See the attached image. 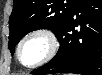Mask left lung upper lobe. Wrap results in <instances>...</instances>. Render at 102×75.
I'll return each instance as SVG.
<instances>
[{
  "label": "left lung upper lobe",
  "instance_id": "obj_1",
  "mask_svg": "<svg viewBox=\"0 0 102 75\" xmlns=\"http://www.w3.org/2000/svg\"><path fill=\"white\" fill-rule=\"evenodd\" d=\"M79 2L80 0H13L8 43L11 54L19 40L31 31L48 28L57 34Z\"/></svg>",
  "mask_w": 102,
  "mask_h": 75
}]
</instances>
